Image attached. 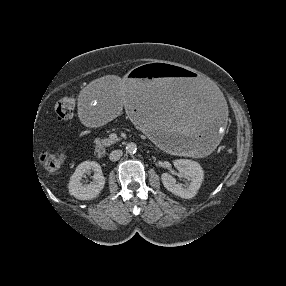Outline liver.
<instances>
[{
  "label": "liver",
  "mask_w": 286,
  "mask_h": 286,
  "mask_svg": "<svg viewBox=\"0 0 286 286\" xmlns=\"http://www.w3.org/2000/svg\"><path fill=\"white\" fill-rule=\"evenodd\" d=\"M98 88H101V86H98ZM119 89H120L119 94H121L123 96V101H125L124 96H125L126 92H128L126 84H124V83L120 84L119 85Z\"/></svg>",
  "instance_id": "6515ba94"
}]
</instances>
